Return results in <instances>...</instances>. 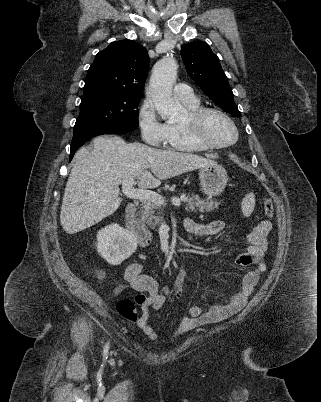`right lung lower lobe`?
I'll return each mask as SVG.
<instances>
[{
    "mask_svg": "<svg viewBox=\"0 0 321 402\" xmlns=\"http://www.w3.org/2000/svg\"><path fill=\"white\" fill-rule=\"evenodd\" d=\"M135 128L128 125H102L74 128V135L71 143L70 161L75 152L89 139L103 134L123 133L132 131Z\"/></svg>",
    "mask_w": 321,
    "mask_h": 402,
    "instance_id": "1",
    "label": "right lung lower lobe"
}]
</instances>
